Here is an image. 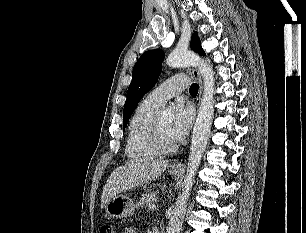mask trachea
Segmentation results:
<instances>
[{
	"instance_id": "3493384b",
	"label": "trachea",
	"mask_w": 306,
	"mask_h": 233,
	"mask_svg": "<svg viewBox=\"0 0 306 233\" xmlns=\"http://www.w3.org/2000/svg\"><path fill=\"white\" fill-rule=\"evenodd\" d=\"M190 94L196 95L198 93V85L193 83L189 89Z\"/></svg>"
}]
</instances>
